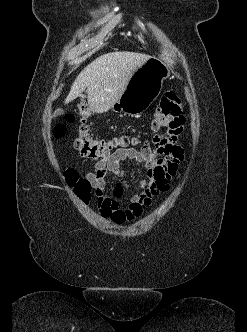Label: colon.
Masks as SVG:
<instances>
[{"label": "colon", "instance_id": "obj_1", "mask_svg": "<svg viewBox=\"0 0 247 332\" xmlns=\"http://www.w3.org/2000/svg\"><path fill=\"white\" fill-rule=\"evenodd\" d=\"M78 114L84 119L88 116L89 110L85 103L78 105ZM66 123H73L75 116L68 114L65 117ZM183 118L181 115V100L172 91L166 92L161 98L158 107L151 122V129L153 132H158L162 129H166V135H156L154 142L156 146L161 145L169 135L179 134L182 129ZM66 126L64 123H60L55 127V137L61 138L65 135ZM135 141L127 137H119L113 139H102L93 137L82 120V123L78 130L77 138L75 139L74 146L81 156L97 159L102 158L112 152V150L133 144ZM68 183L73 187L76 195L88 203L91 198V184L85 178H80L75 171L68 173Z\"/></svg>", "mask_w": 247, "mask_h": 332}]
</instances>
